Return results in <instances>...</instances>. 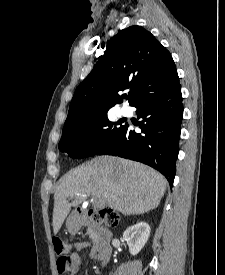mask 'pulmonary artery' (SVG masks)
<instances>
[{
  "mask_svg": "<svg viewBox=\"0 0 225 275\" xmlns=\"http://www.w3.org/2000/svg\"><path fill=\"white\" fill-rule=\"evenodd\" d=\"M120 113H121L122 115H128L129 110H128L127 108H122V109L120 110Z\"/></svg>",
  "mask_w": 225,
  "mask_h": 275,
  "instance_id": "pulmonary-artery-1",
  "label": "pulmonary artery"
}]
</instances>
